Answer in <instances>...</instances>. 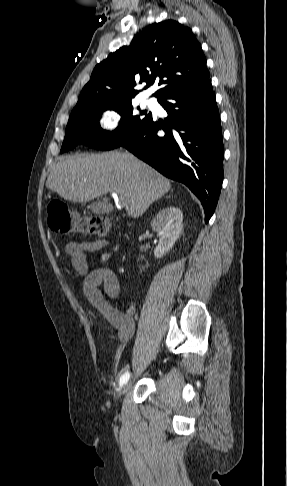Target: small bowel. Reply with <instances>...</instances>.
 I'll return each instance as SVG.
<instances>
[{
    "instance_id": "small-bowel-1",
    "label": "small bowel",
    "mask_w": 287,
    "mask_h": 486,
    "mask_svg": "<svg viewBox=\"0 0 287 486\" xmlns=\"http://www.w3.org/2000/svg\"><path fill=\"white\" fill-rule=\"evenodd\" d=\"M106 247H109V250L101 255V262L105 264L118 251L119 245L116 242L105 239L74 240L65 244L64 251L70 257L75 272L83 277V292L87 300L100 312L120 341L128 342L135 333V304L130 301L124 310L112 306L106 297L119 296L120 283L117 275L105 266L91 271L88 267L87 253L97 252ZM101 285L103 291L100 289Z\"/></svg>"
}]
</instances>
